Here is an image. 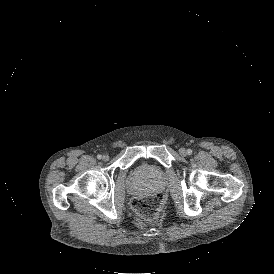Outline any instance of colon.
<instances>
[{
	"label": "colon",
	"instance_id": "colon-1",
	"mask_svg": "<svg viewBox=\"0 0 274 274\" xmlns=\"http://www.w3.org/2000/svg\"><path fill=\"white\" fill-rule=\"evenodd\" d=\"M164 203V194L161 191H154L150 196H134L131 208L138 220L150 222L161 217Z\"/></svg>",
	"mask_w": 274,
	"mask_h": 274
}]
</instances>
